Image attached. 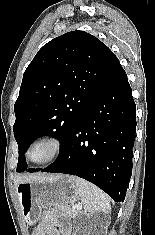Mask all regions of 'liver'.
Here are the masks:
<instances>
[{
    "mask_svg": "<svg viewBox=\"0 0 155 235\" xmlns=\"http://www.w3.org/2000/svg\"><path fill=\"white\" fill-rule=\"evenodd\" d=\"M53 176H46L42 174H26V175H19L15 178L14 184L17 187L18 184L23 182H32V181H39L44 180L47 178H51Z\"/></svg>",
    "mask_w": 155,
    "mask_h": 235,
    "instance_id": "6515ba94",
    "label": "liver"
}]
</instances>
